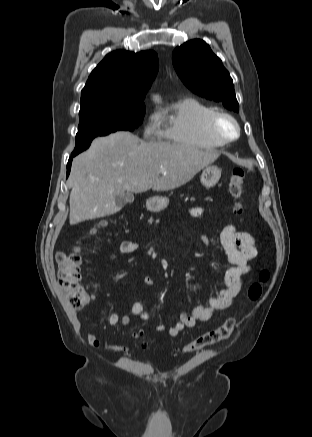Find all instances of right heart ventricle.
Wrapping results in <instances>:
<instances>
[{"label":"right heart ventricle","mask_w":312,"mask_h":437,"mask_svg":"<svg viewBox=\"0 0 312 437\" xmlns=\"http://www.w3.org/2000/svg\"><path fill=\"white\" fill-rule=\"evenodd\" d=\"M212 111L213 108L192 97L176 101L162 118V139L188 147H222L224 144L212 138L205 129V119Z\"/></svg>","instance_id":"e07e8e85"}]
</instances>
